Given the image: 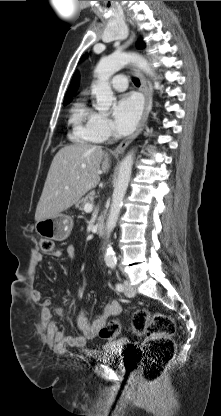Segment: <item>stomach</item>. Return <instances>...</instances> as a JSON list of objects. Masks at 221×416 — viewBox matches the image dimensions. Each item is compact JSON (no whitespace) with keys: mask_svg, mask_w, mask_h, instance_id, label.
Returning a JSON list of instances; mask_svg holds the SVG:
<instances>
[{"mask_svg":"<svg viewBox=\"0 0 221 416\" xmlns=\"http://www.w3.org/2000/svg\"><path fill=\"white\" fill-rule=\"evenodd\" d=\"M73 228V220L65 214L38 221L35 225L36 232L44 239L63 241L67 239Z\"/></svg>","mask_w":221,"mask_h":416,"instance_id":"0dacf381","label":"stomach"}]
</instances>
